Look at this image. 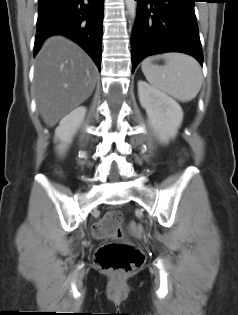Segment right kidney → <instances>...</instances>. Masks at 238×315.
Here are the masks:
<instances>
[{
  "mask_svg": "<svg viewBox=\"0 0 238 315\" xmlns=\"http://www.w3.org/2000/svg\"><path fill=\"white\" fill-rule=\"evenodd\" d=\"M86 111L84 106L77 107L60 121L59 126L55 130V141L60 142L57 147L59 154H64L72 137L82 124Z\"/></svg>",
  "mask_w": 238,
  "mask_h": 315,
  "instance_id": "obj_1",
  "label": "right kidney"
}]
</instances>
